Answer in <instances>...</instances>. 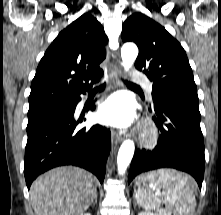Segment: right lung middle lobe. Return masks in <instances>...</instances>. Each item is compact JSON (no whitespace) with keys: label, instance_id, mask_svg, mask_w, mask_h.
Returning <instances> with one entry per match:
<instances>
[{"label":"right lung middle lobe","instance_id":"obj_1","mask_svg":"<svg viewBox=\"0 0 221 215\" xmlns=\"http://www.w3.org/2000/svg\"><path fill=\"white\" fill-rule=\"evenodd\" d=\"M48 107H50V106H48ZM45 108H47V107L36 108V109H29V111H28V117H30V116L36 114L37 112H40L41 110H43V109H45Z\"/></svg>","mask_w":221,"mask_h":215}]
</instances>
